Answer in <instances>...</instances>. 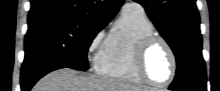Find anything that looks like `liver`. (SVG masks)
I'll use <instances>...</instances> for the list:
<instances>
[{
  "instance_id": "obj_1",
  "label": "liver",
  "mask_w": 220,
  "mask_h": 91,
  "mask_svg": "<svg viewBox=\"0 0 220 91\" xmlns=\"http://www.w3.org/2000/svg\"><path fill=\"white\" fill-rule=\"evenodd\" d=\"M32 91H142L127 82L99 76L80 75L72 69H59L40 79Z\"/></svg>"
}]
</instances>
